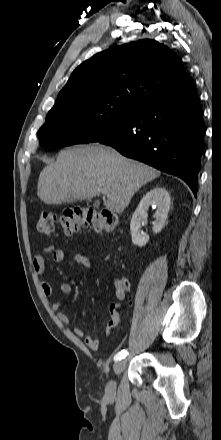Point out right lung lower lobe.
Masks as SVG:
<instances>
[{"instance_id": "98d812e1", "label": "right lung lower lobe", "mask_w": 221, "mask_h": 440, "mask_svg": "<svg viewBox=\"0 0 221 440\" xmlns=\"http://www.w3.org/2000/svg\"><path fill=\"white\" fill-rule=\"evenodd\" d=\"M203 136L199 96L190 83L140 104L120 127L97 142L178 176L196 196Z\"/></svg>"}]
</instances>
